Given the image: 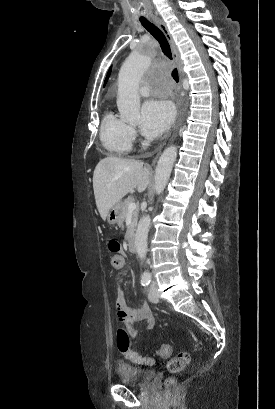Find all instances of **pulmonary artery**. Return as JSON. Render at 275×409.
Masks as SVG:
<instances>
[{"mask_svg": "<svg viewBox=\"0 0 275 409\" xmlns=\"http://www.w3.org/2000/svg\"><path fill=\"white\" fill-rule=\"evenodd\" d=\"M151 87L150 86H148V85H146V86H143L142 87V95H144V96H147L148 95V93H150L151 92Z\"/></svg>", "mask_w": 275, "mask_h": 409, "instance_id": "e3ab8cb5", "label": "pulmonary artery"}]
</instances>
